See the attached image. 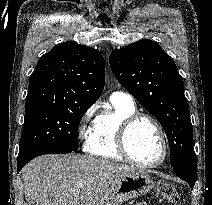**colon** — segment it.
I'll return each instance as SVG.
<instances>
[{
    "instance_id": "obj_1",
    "label": "colon",
    "mask_w": 212,
    "mask_h": 205,
    "mask_svg": "<svg viewBox=\"0 0 212 205\" xmlns=\"http://www.w3.org/2000/svg\"><path fill=\"white\" fill-rule=\"evenodd\" d=\"M156 197L160 201L176 203L178 200V193L173 184L167 182H160L158 183L156 188Z\"/></svg>"
}]
</instances>
